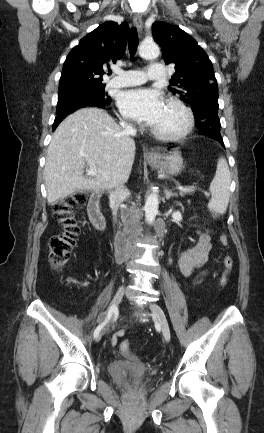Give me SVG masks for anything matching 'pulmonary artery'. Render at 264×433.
Masks as SVG:
<instances>
[{"label":"pulmonary artery","mask_w":264,"mask_h":433,"mask_svg":"<svg viewBox=\"0 0 264 433\" xmlns=\"http://www.w3.org/2000/svg\"><path fill=\"white\" fill-rule=\"evenodd\" d=\"M118 76L109 81L112 87H129L145 83L147 80H161L164 77V68L160 64H150L147 76L138 69L117 70Z\"/></svg>","instance_id":"e3ab8cb5"}]
</instances>
